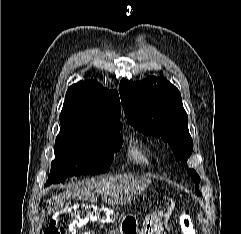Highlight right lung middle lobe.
Returning a JSON list of instances; mask_svg holds the SVG:
<instances>
[{
	"label": "right lung middle lobe",
	"instance_id": "right-lung-middle-lobe-1",
	"mask_svg": "<svg viewBox=\"0 0 241 234\" xmlns=\"http://www.w3.org/2000/svg\"><path fill=\"white\" fill-rule=\"evenodd\" d=\"M61 130L56 137V159L45 186L70 176L104 173L120 150L123 138L120 128H86L72 119L60 116Z\"/></svg>",
	"mask_w": 241,
	"mask_h": 234
}]
</instances>
